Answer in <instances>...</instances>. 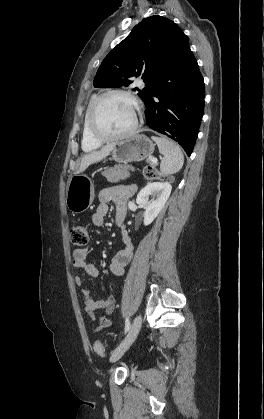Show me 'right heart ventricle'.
<instances>
[{"mask_svg": "<svg viewBox=\"0 0 264 419\" xmlns=\"http://www.w3.org/2000/svg\"><path fill=\"white\" fill-rule=\"evenodd\" d=\"M97 96L94 94L90 97L86 110H85V114H84V119H83V127H82V137H81V147L83 149V151L85 152H91L93 150H96L97 148L100 147L101 142L95 140L89 133L88 130V114L91 108V105L93 103V101L95 100Z\"/></svg>", "mask_w": 264, "mask_h": 419, "instance_id": "e07e8e85", "label": "right heart ventricle"}]
</instances>
